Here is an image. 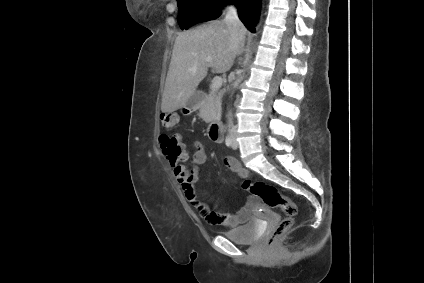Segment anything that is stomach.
I'll return each mask as SVG.
<instances>
[{"instance_id": "1", "label": "stomach", "mask_w": 424, "mask_h": 283, "mask_svg": "<svg viewBox=\"0 0 424 283\" xmlns=\"http://www.w3.org/2000/svg\"><path fill=\"white\" fill-rule=\"evenodd\" d=\"M195 107H190V106H188V105H185V107L183 108L184 110H189V111H191V110H193Z\"/></svg>"}]
</instances>
